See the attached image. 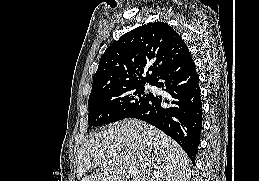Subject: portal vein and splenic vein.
<instances>
[{
    "instance_id": "portal-vein-and-splenic-vein-1",
    "label": "portal vein and splenic vein",
    "mask_w": 259,
    "mask_h": 181,
    "mask_svg": "<svg viewBox=\"0 0 259 181\" xmlns=\"http://www.w3.org/2000/svg\"><path fill=\"white\" fill-rule=\"evenodd\" d=\"M128 173H129L130 175H135V174L137 173V171H136L135 169H133V168H130V169L128 170Z\"/></svg>"
}]
</instances>
